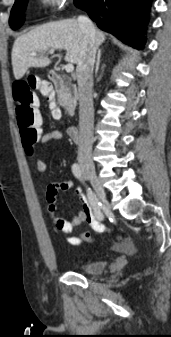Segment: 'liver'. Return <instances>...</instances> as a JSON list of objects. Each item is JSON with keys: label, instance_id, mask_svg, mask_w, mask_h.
I'll list each match as a JSON object with an SVG mask.
<instances>
[{"label": "liver", "instance_id": "liver-1", "mask_svg": "<svg viewBox=\"0 0 171 337\" xmlns=\"http://www.w3.org/2000/svg\"><path fill=\"white\" fill-rule=\"evenodd\" d=\"M84 34L76 19H64L36 27L18 37L13 45L11 60L13 74L21 79L30 67H46L51 60L45 56L47 51L66 50L65 61L78 64ZM105 41V34L97 30L96 47ZM34 53H40L36 57Z\"/></svg>", "mask_w": 171, "mask_h": 337}]
</instances>
